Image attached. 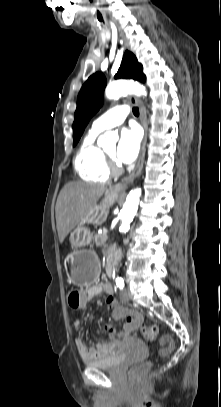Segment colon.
Returning a JSON list of instances; mask_svg holds the SVG:
<instances>
[{
  "mask_svg": "<svg viewBox=\"0 0 221 407\" xmlns=\"http://www.w3.org/2000/svg\"><path fill=\"white\" fill-rule=\"evenodd\" d=\"M89 289L87 286L74 287L70 292V297L67 299V304L70 306L71 311H82L86 304V295ZM111 317L118 322H123L122 326L126 330L141 329L143 336L149 340H153L158 335V327L145 326L143 324V311L141 309H134L133 306L128 305H116L111 310ZM162 344L165 345L163 349L159 351L160 356L166 357L170 355L174 348L175 342L171 337H163ZM150 368L149 362L140 363L134 365L129 371V379L133 384L139 383L148 369Z\"/></svg>",
  "mask_w": 221,
  "mask_h": 407,
  "instance_id": "1",
  "label": "colon"
}]
</instances>
